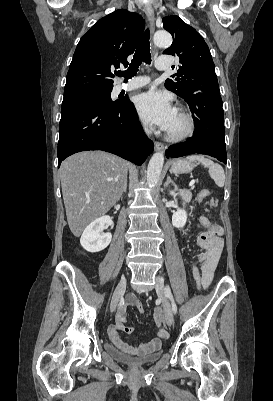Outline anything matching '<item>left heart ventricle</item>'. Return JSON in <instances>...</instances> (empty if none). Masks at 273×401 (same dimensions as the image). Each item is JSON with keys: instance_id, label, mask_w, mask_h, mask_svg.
Returning <instances> with one entry per match:
<instances>
[{"instance_id": "b2bd125f", "label": "left heart ventricle", "mask_w": 273, "mask_h": 401, "mask_svg": "<svg viewBox=\"0 0 273 401\" xmlns=\"http://www.w3.org/2000/svg\"><path fill=\"white\" fill-rule=\"evenodd\" d=\"M187 127L185 119L177 111L173 120L171 121L167 131L171 133L183 132Z\"/></svg>"}]
</instances>
